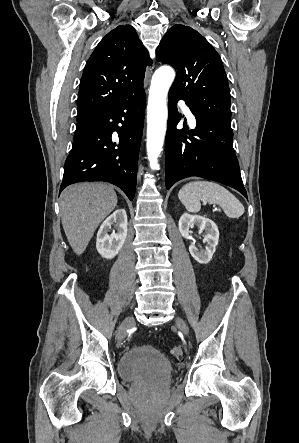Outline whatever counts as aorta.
Wrapping results in <instances>:
<instances>
[{
  "label": "aorta",
  "mask_w": 299,
  "mask_h": 443,
  "mask_svg": "<svg viewBox=\"0 0 299 443\" xmlns=\"http://www.w3.org/2000/svg\"><path fill=\"white\" fill-rule=\"evenodd\" d=\"M175 78L171 67L162 66L152 76L147 107L146 149L150 168L159 169L158 158L163 151L168 117L167 94Z\"/></svg>",
  "instance_id": "obj_1"
}]
</instances>
